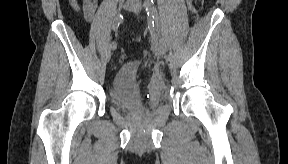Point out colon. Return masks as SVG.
I'll return each instance as SVG.
<instances>
[{
	"label": "colon",
	"instance_id": "colon-1",
	"mask_svg": "<svg viewBox=\"0 0 288 164\" xmlns=\"http://www.w3.org/2000/svg\"><path fill=\"white\" fill-rule=\"evenodd\" d=\"M83 11H84L83 16H84L85 18H88V17H90V16L93 15L92 10L88 9L87 7H85ZM126 58H127L126 53H125L124 51H121V53H120V59H121L122 61H124Z\"/></svg>",
	"mask_w": 288,
	"mask_h": 164
}]
</instances>
